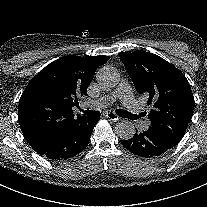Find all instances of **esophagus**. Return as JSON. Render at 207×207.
Wrapping results in <instances>:
<instances>
[{
    "instance_id": "34e87169",
    "label": "esophagus",
    "mask_w": 207,
    "mask_h": 207,
    "mask_svg": "<svg viewBox=\"0 0 207 207\" xmlns=\"http://www.w3.org/2000/svg\"><path fill=\"white\" fill-rule=\"evenodd\" d=\"M106 117L109 119V120H113V121H117L119 119V116L113 112V111H110L106 114Z\"/></svg>"
}]
</instances>
